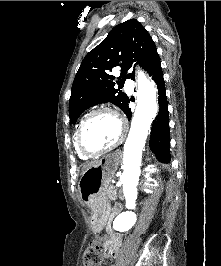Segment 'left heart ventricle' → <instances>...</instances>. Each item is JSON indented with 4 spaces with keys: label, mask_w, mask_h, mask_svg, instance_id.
Returning a JSON list of instances; mask_svg holds the SVG:
<instances>
[{
    "label": "left heart ventricle",
    "mask_w": 221,
    "mask_h": 266,
    "mask_svg": "<svg viewBox=\"0 0 221 266\" xmlns=\"http://www.w3.org/2000/svg\"><path fill=\"white\" fill-rule=\"evenodd\" d=\"M120 134V124L116 117L102 113L95 116L84 134L86 145L91 149H101L112 144Z\"/></svg>",
    "instance_id": "b2bd125f"
}]
</instances>
